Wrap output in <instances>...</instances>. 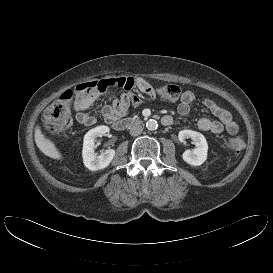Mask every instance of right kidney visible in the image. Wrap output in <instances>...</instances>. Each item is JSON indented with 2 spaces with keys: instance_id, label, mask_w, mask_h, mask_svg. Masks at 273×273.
Here are the masks:
<instances>
[{
  "instance_id": "right-kidney-1",
  "label": "right kidney",
  "mask_w": 273,
  "mask_h": 273,
  "mask_svg": "<svg viewBox=\"0 0 273 273\" xmlns=\"http://www.w3.org/2000/svg\"><path fill=\"white\" fill-rule=\"evenodd\" d=\"M109 132V127L98 126L89 130L83 140L82 157L84 165L91 171L101 170L111 163L115 156L114 149H108L101 155L95 153V139Z\"/></svg>"
}]
</instances>
